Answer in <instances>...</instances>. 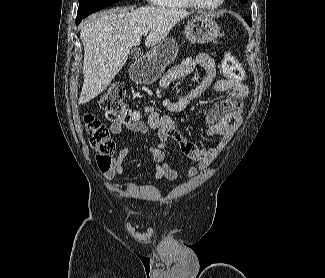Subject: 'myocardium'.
<instances>
[{
	"label": "myocardium",
	"mask_w": 325,
	"mask_h": 278,
	"mask_svg": "<svg viewBox=\"0 0 325 278\" xmlns=\"http://www.w3.org/2000/svg\"><path fill=\"white\" fill-rule=\"evenodd\" d=\"M192 7L199 9V10H205V11H211L220 8L225 0H219L217 3L213 5H203L200 4L197 0H186Z\"/></svg>",
	"instance_id": "f54148a6"
}]
</instances>
